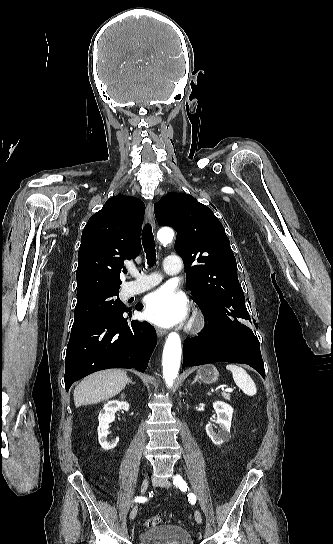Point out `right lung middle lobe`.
<instances>
[{"label": "right lung middle lobe", "instance_id": "right-lung-middle-lobe-1", "mask_svg": "<svg viewBox=\"0 0 333 544\" xmlns=\"http://www.w3.org/2000/svg\"><path fill=\"white\" fill-rule=\"evenodd\" d=\"M119 291H108L77 299L71 333L81 331L97 321L124 311Z\"/></svg>", "mask_w": 333, "mask_h": 544}]
</instances>
